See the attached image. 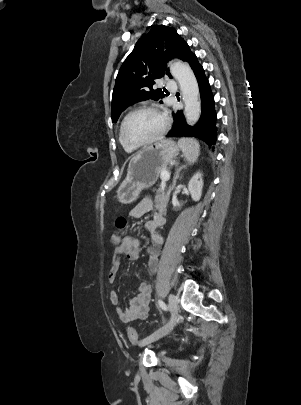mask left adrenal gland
<instances>
[{"label":"left adrenal gland","instance_id":"obj_1","mask_svg":"<svg viewBox=\"0 0 301 405\" xmlns=\"http://www.w3.org/2000/svg\"><path fill=\"white\" fill-rule=\"evenodd\" d=\"M183 168H184V166H182V167H180V168H178V169L176 170V173H175V176H174V179H173V185H172V187H174V186L176 185V180L178 179L179 173H180V171H181Z\"/></svg>","mask_w":301,"mask_h":405}]
</instances>
